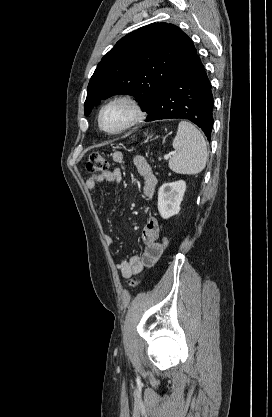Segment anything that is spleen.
<instances>
[{"instance_id": "3e777b00", "label": "spleen", "mask_w": 272, "mask_h": 417, "mask_svg": "<svg viewBox=\"0 0 272 417\" xmlns=\"http://www.w3.org/2000/svg\"><path fill=\"white\" fill-rule=\"evenodd\" d=\"M174 154L169 168L179 174H198L206 166L208 152L201 132L191 123L181 121L173 140Z\"/></svg>"}]
</instances>
